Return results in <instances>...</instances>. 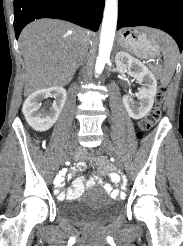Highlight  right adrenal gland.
Segmentation results:
<instances>
[{
  "label": "right adrenal gland",
  "instance_id": "obj_1",
  "mask_svg": "<svg viewBox=\"0 0 183 246\" xmlns=\"http://www.w3.org/2000/svg\"><path fill=\"white\" fill-rule=\"evenodd\" d=\"M80 66V62L77 64L76 68H78Z\"/></svg>",
  "mask_w": 183,
  "mask_h": 246
}]
</instances>
